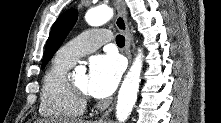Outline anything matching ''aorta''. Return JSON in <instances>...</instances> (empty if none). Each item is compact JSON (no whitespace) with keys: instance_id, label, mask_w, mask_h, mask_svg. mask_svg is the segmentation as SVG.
<instances>
[{"instance_id":"aorta-1","label":"aorta","mask_w":221,"mask_h":123,"mask_svg":"<svg viewBox=\"0 0 221 123\" xmlns=\"http://www.w3.org/2000/svg\"><path fill=\"white\" fill-rule=\"evenodd\" d=\"M113 11L107 6L92 8L87 11L85 19L90 26H100L112 18ZM142 68V53L140 52L126 74L118 93L116 117L120 123L127 120L137 100L140 73Z\"/></svg>"}]
</instances>
